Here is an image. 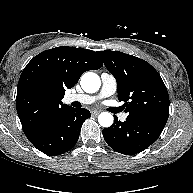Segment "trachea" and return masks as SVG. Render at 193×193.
Masks as SVG:
<instances>
[{"instance_id":"obj_1","label":"trachea","mask_w":193,"mask_h":193,"mask_svg":"<svg viewBox=\"0 0 193 193\" xmlns=\"http://www.w3.org/2000/svg\"><path fill=\"white\" fill-rule=\"evenodd\" d=\"M115 111H116V112H118V111H119V109L117 108Z\"/></svg>"}]
</instances>
